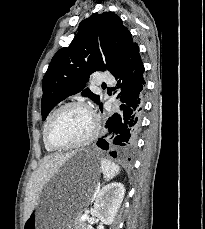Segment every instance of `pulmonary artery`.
Wrapping results in <instances>:
<instances>
[{"instance_id":"pulmonary-artery-1","label":"pulmonary artery","mask_w":205,"mask_h":229,"mask_svg":"<svg viewBox=\"0 0 205 229\" xmlns=\"http://www.w3.org/2000/svg\"><path fill=\"white\" fill-rule=\"evenodd\" d=\"M96 82L98 84H113L114 83V78L113 76H111L108 73L102 72V73H98L97 78H96Z\"/></svg>"}]
</instances>
